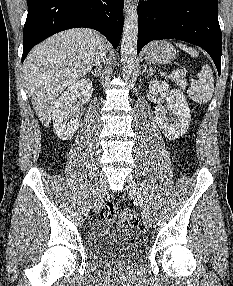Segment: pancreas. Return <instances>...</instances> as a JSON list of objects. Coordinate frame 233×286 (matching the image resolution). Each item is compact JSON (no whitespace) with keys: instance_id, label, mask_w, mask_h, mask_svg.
Returning <instances> with one entry per match:
<instances>
[{"instance_id":"obj_1","label":"pancreas","mask_w":233,"mask_h":286,"mask_svg":"<svg viewBox=\"0 0 233 286\" xmlns=\"http://www.w3.org/2000/svg\"><path fill=\"white\" fill-rule=\"evenodd\" d=\"M177 86L184 89L187 85L186 80L183 77H171Z\"/></svg>"}]
</instances>
